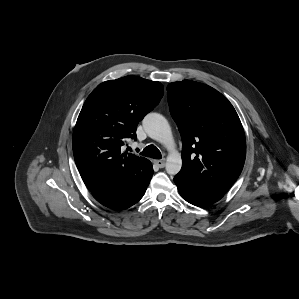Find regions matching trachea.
I'll list each match as a JSON object with an SVG mask.
<instances>
[{
    "mask_svg": "<svg viewBox=\"0 0 299 299\" xmlns=\"http://www.w3.org/2000/svg\"><path fill=\"white\" fill-rule=\"evenodd\" d=\"M140 154L143 156H146V157L154 158V159L162 158V155H161V152L159 151V149L152 144L145 147Z\"/></svg>",
    "mask_w": 299,
    "mask_h": 299,
    "instance_id": "obj_1",
    "label": "trachea"
}]
</instances>
